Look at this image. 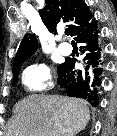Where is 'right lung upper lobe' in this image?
<instances>
[{
    "label": "right lung upper lobe",
    "instance_id": "cb5924a9",
    "mask_svg": "<svg viewBox=\"0 0 117 136\" xmlns=\"http://www.w3.org/2000/svg\"><path fill=\"white\" fill-rule=\"evenodd\" d=\"M45 7L39 10L47 29L56 34V26L64 22L70 29L75 40L80 32L94 19L89 7L82 0H45ZM37 49V39L34 34L27 33L22 39L14 59L13 69L20 66Z\"/></svg>",
    "mask_w": 117,
    "mask_h": 136
}]
</instances>
